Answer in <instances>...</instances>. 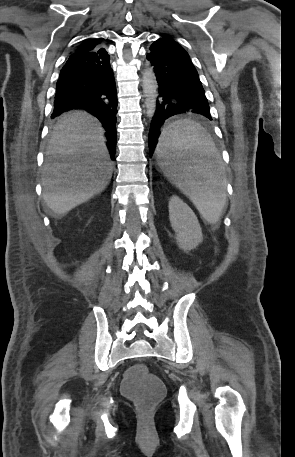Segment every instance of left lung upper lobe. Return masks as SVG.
<instances>
[{
  "instance_id": "obj_1",
  "label": "left lung upper lobe",
  "mask_w": 295,
  "mask_h": 457,
  "mask_svg": "<svg viewBox=\"0 0 295 457\" xmlns=\"http://www.w3.org/2000/svg\"><path fill=\"white\" fill-rule=\"evenodd\" d=\"M161 38L162 39H165L167 41H171L175 44H178L179 46H181L178 42H176L171 36L167 35V34H160Z\"/></svg>"
}]
</instances>
